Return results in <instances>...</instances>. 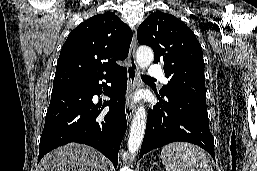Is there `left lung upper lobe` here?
I'll return each instance as SVG.
<instances>
[{
  "instance_id": "left-lung-upper-lobe-1",
  "label": "left lung upper lobe",
  "mask_w": 257,
  "mask_h": 171,
  "mask_svg": "<svg viewBox=\"0 0 257 171\" xmlns=\"http://www.w3.org/2000/svg\"><path fill=\"white\" fill-rule=\"evenodd\" d=\"M139 44L154 51V63L164 62L170 79L160 94L181 92L206 99L202 48L195 34L176 17L157 11L137 31Z\"/></svg>"
}]
</instances>
